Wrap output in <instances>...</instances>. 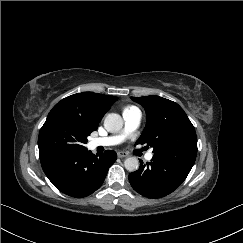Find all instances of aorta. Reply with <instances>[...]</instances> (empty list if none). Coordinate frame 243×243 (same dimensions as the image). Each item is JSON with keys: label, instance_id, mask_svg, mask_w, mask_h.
Returning a JSON list of instances; mask_svg holds the SVG:
<instances>
[{"label": "aorta", "instance_id": "762f6f07", "mask_svg": "<svg viewBox=\"0 0 243 243\" xmlns=\"http://www.w3.org/2000/svg\"><path fill=\"white\" fill-rule=\"evenodd\" d=\"M123 127V120L119 114L110 113L104 120V128L111 133L118 132ZM125 168L134 172L139 168V160L136 157H129L124 161Z\"/></svg>", "mask_w": 243, "mask_h": 243}]
</instances>
